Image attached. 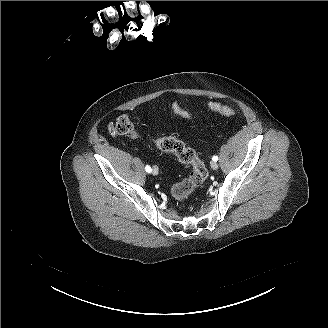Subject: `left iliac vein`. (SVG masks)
<instances>
[{
	"label": "left iliac vein",
	"instance_id": "obj_1",
	"mask_svg": "<svg viewBox=\"0 0 328 328\" xmlns=\"http://www.w3.org/2000/svg\"><path fill=\"white\" fill-rule=\"evenodd\" d=\"M210 165L212 169L214 170L218 169V164L215 161H212Z\"/></svg>",
	"mask_w": 328,
	"mask_h": 328
}]
</instances>
